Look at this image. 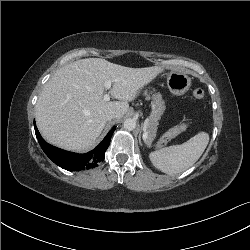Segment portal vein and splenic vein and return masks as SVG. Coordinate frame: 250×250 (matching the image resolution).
Masks as SVG:
<instances>
[{"label":"portal vein and splenic vein","mask_w":250,"mask_h":250,"mask_svg":"<svg viewBox=\"0 0 250 250\" xmlns=\"http://www.w3.org/2000/svg\"><path fill=\"white\" fill-rule=\"evenodd\" d=\"M111 84H112V81H110V80H107V81L104 82V86L108 90L111 88ZM103 99L105 101H109L110 100V95L109 94H105L104 97H103ZM145 137H147L146 125H145Z\"/></svg>","instance_id":"obj_1"}]
</instances>
